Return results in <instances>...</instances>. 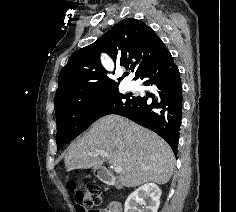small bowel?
I'll use <instances>...</instances> for the list:
<instances>
[{
    "instance_id": "1",
    "label": "small bowel",
    "mask_w": 236,
    "mask_h": 212,
    "mask_svg": "<svg viewBox=\"0 0 236 212\" xmlns=\"http://www.w3.org/2000/svg\"><path fill=\"white\" fill-rule=\"evenodd\" d=\"M105 212H121V208L117 203H111L109 204Z\"/></svg>"
}]
</instances>
